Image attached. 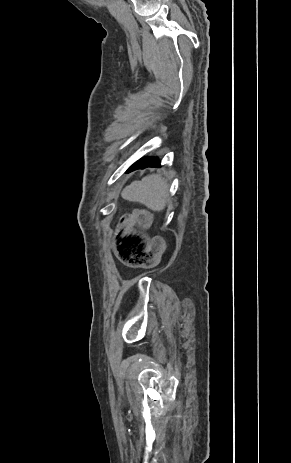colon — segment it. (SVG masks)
<instances>
[{"label":"colon","mask_w":291,"mask_h":463,"mask_svg":"<svg viewBox=\"0 0 291 463\" xmlns=\"http://www.w3.org/2000/svg\"><path fill=\"white\" fill-rule=\"evenodd\" d=\"M150 222L147 212L137 210L124 215L118 225L115 238V251L117 258L126 266L140 267L154 260L160 247L159 238L147 240L134 226H145Z\"/></svg>","instance_id":"5ec220e1"}]
</instances>
